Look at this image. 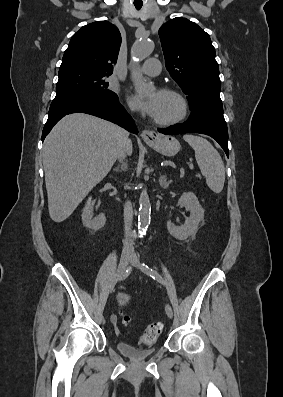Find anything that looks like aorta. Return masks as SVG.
Here are the masks:
<instances>
[{
	"instance_id": "obj_1",
	"label": "aorta",
	"mask_w": 283,
	"mask_h": 397,
	"mask_svg": "<svg viewBox=\"0 0 283 397\" xmlns=\"http://www.w3.org/2000/svg\"><path fill=\"white\" fill-rule=\"evenodd\" d=\"M153 50V44L150 41L141 40L134 43L131 48L133 61L139 62L147 58ZM133 83L136 91L140 95H149L153 92L154 86L146 83L141 76H133ZM138 228L144 233L150 224L151 204L146 188H143L139 197Z\"/></svg>"
}]
</instances>
